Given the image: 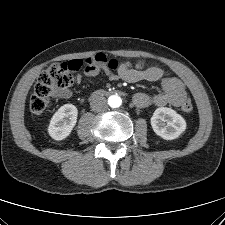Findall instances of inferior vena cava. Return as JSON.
<instances>
[{
    "label": "inferior vena cava",
    "instance_id": "602c4592",
    "mask_svg": "<svg viewBox=\"0 0 225 225\" xmlns=\"http://www.w3.org/2000/svg\"><path fill=\"white\" fill-rule=\"evenodd\" d=\"M91 108L97 112H104L108 109V103L103 96H94L91 101Z\"/></svg>",
    "mask_w": 225,
    "mask_h": 225
}]
</instances>
